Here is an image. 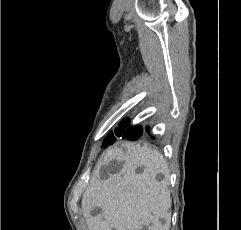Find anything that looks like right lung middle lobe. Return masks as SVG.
<instances>
[{
    "instance_id": "right-lung-middle-lobe-1",
    "label": "right lung middle lobe",
    "mask_w": 241,
    "mask_h": 230,
    "mask_svg": "<svg viewBox=\"0 0 241 230\" xmlns=\"http://www.w3.org/2000/svg\"><path fill=\"white\" fill-rule=\"evenodd\" d=\"M128 123H129V120L126 119L119 124V128L115 130V134L111 131L108 134V136L105 138L102 147L105 148L108 145L113 144L117 140V137H122L123 133L124 134L122 138L131 140V141L137 140L141 135L133 134L132 132H129L128 129L126 132L124 131V126L126 127Z\"/></svg>"
}]
</instances>
